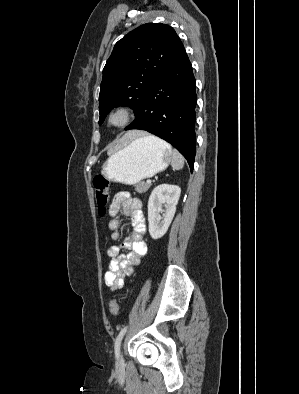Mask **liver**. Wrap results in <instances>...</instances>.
<instances>
[{"label": "liver", "instance_id": "1", "mask_svg": "<svg viewBox=\"0 0 299 394\" xmlns=\"http://www.w3.org/2000/svg\"><path fill=\"white\" fill-rule=\"evenodd\" d=\"M145 133L140 132V131H130L128 133H126L122 139H121V143L122 145H126L127 143H129L130 141L140 138V137H144Z\"/></svg>", "mask_w": 299, "mask_h": 394}]
</instances>
